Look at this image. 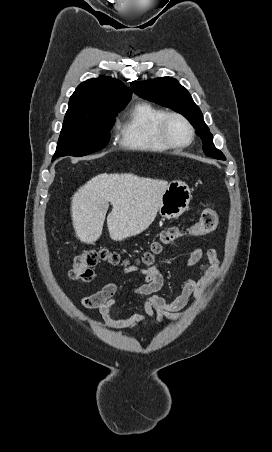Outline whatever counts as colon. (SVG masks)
<instances>
[{"instance_id":"obj_1","label":"colon","mask_w":272,"mask_h":452,"mask_svg":"<svg viewBox=\"0 0 272 452\" xmlns=\"http://www.w3.org/2000/svg\"><path fill=\"white\" fill-rule=\"evenodd\" d=\"M218 223V213L214 206H206L199 219L187 229L183 230L178 226H171L162 230L157 238L153 240L148 250L142 255L141 262L149 264L154 255L161 252L165 245H168L184 235L199 236L212 232ZM102 261L111 264H119L120 256L115 252H110L105 248L84 249L81 254L72 261L69 275L73 280L91 281L94 278L93 268Z\"/></svg>"}]
</instances>
